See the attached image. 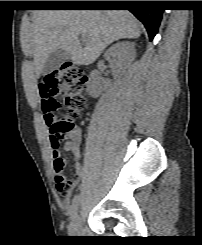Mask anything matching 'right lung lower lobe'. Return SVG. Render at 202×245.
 <instances>
[{
	"label": "right lung lower lobe",
	"mask_w": 202,
	"mask_h": 245,
	"mask_svg": "<svg viewBox=\"0 0 202 245\" xmlns=\"http://www.w3.org/2000/svg\"><path fill=\"white\" fill-rule=\"evenodd\" d=\"M80 1L82 7H129L131 11L145 26L150 40L157 34L163 10L157 1Z\"/></svg>",
	"instance_id": "right-lung-lower-lobe-1"
}]
</instances>
